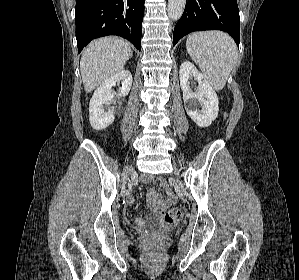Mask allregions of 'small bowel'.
I'll list each match as a JSON object with an SVG mask.
<instances>
[{
  "mask_svg": "<svg viewBox=\"0 0 299 280\" xmlns=\"http://www.w3.org/2000/svg\"><path fill=\"white\" fill-rule=\"evenodd\" d=\"M161 186L165 187V184L160 180ZM175 200L174 196L170 195L168 199H164L160 193H158L154 188L147 191V201L149 207L154 211H162L167 205ZM127 203L132 204L133 199L131 197L127 198Z\"/></svg>",
  "mask_w": 299,
  "mask_h": 280,
  "instance_id": "1",
  "label": "small bowel"
}]
</instances>
